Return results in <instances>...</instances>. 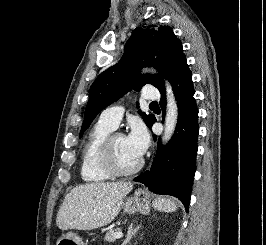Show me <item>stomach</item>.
I'll return each instance as SVG.
<instances>
[{"label": "stomach", "mask_w": 266, "mask_h": 245, "mask_svg": "<svg viewBox=\"0 0 266 245\" xmlns=\"http://www.w3.org/2000/svg\"><path fill=\"white\" fill-rule=\"evenodd\" d=\"M149 195L143 189H137L134 197H127L122 203V209L127 215H134V213H141V215H148L150 211ZM62 241H66L68 245H85L83 239L77 235V233H66L58 241V245H61Z\"/></svg>", "instance_id": "stomach-1"}]
</instances>
